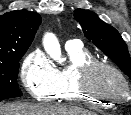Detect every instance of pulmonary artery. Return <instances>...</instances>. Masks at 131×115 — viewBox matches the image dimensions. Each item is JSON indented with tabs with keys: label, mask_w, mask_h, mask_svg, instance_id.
Instances as JSON below:
<instances>
[{
	"label": "pulmonary artery",
	"mask_w": 131,
	"mask_h": 115,
	"mask_svg": "<svg viewBox=\"0 0 131 115\" xmlns=\"http://www.w3.org/2000/svg\"><path fill=\"white\" fill-rule=\"evenodd\" d=\"M75 46H79V42L76 40H70L66 43V47L68 48L75 47Z\"/></svg>",
	"instance_id": "e3ab8cb5"
}]
</instances>
